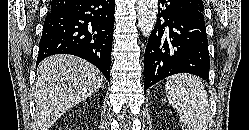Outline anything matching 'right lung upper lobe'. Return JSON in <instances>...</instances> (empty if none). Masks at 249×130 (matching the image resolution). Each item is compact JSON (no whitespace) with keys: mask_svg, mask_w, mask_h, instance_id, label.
<instances>
[{"mask_svg":"<svg viewBox=\"0 0 249 130\" xmlns=\"http://www.w3.org/2000/svg\"><path fill=\"white\" fill-rule=\"evenodd\" d=\"M75 0H53L51 5V12L58 11L69 4H71Z\"/></svg>","mask_w":249,"mask_h":130,"instance_id":"cb5924a9","label":"right lung upper lobe"}]
</instances>
